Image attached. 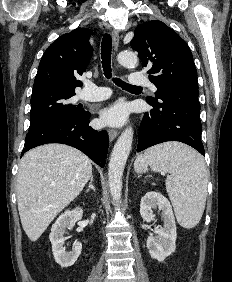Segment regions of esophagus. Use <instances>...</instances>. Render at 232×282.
I'll list each match as a JSON object with an SVG mask.
<instances>
[{"label":"esophagus","mask_w":232,"mask_h":282,"mask_svg":"<svg viewBox=\"0 0 232 282\" xmlns=\"http://www.w3.org/2000/svg\"><path fill=\"white\" fill-rule=\"evenodd\" d=\"M112 39H113L114 49L117 51L119 40H120V35L117 30L112 31ZM108 136H109L110 141H113L118 136V131L115 129H109Z\"/></svg>","instance_id":"34e87169"}]
</instances>
